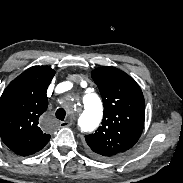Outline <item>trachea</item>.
Listing matches in <instances>:
<instances>
[{"mask_svg":"<svg viewBox=\"0 0 183 183\" xmlns=\"http://www.w3.org/2000/svg\"><path fill=\"white\" fill-rule=\"evenodd\" d=\"M65 116H66V112H65V110L63 108L57 109V111H56V117L59 120L63 121L65 119Z\"/></svg>","mask_w":183,"mask_h":183,"instance_id":"1","label":"trachea"}]
</instances>
